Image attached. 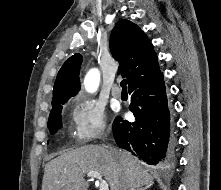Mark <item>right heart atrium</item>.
<instances>
[{
    "instance_id": "right-heart-atrium-1",
    "label": "right heart atrium",
    "mask_w": 221,
    "mask_h": 190,
    "mask_svg": "<svg viewBox=\"0 0 221 190\" xmlns=\"http://www.w3.org/2000/svg\"><path fill=\"white\" fill-rule=\"evenodd\" d=\"M71 120L75 138L82 144L101 138L107 131L104 108L86 96L71 102Z\"/></svg>"
}]
</instances>
